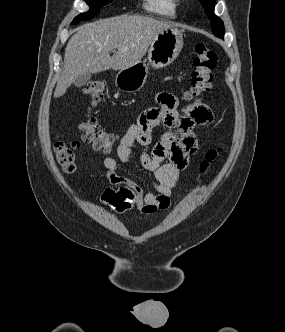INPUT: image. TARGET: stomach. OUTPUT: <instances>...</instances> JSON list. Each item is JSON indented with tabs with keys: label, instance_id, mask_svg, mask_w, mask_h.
<instances>
[{
	"label": "stomach",
	"instance_id": "1",
	"mask_svg": "<svg viewBox=\"0 0 285 332\" xmlns=\"http://www.w3.org/2000/svg\"><path fill=\"white\" fill-rule=\"evenodd\" d=\"M183 47L182 33L170 27L159 33L151 43L148 51V63L156 68L170 65L179 55ZM148 65L139 62L130 68L120 70L115 78L116 86L126 92L139 91L145 84Z\"/></svg>",
	"mask_w": 285,
	"mask_h": 332
}]
</instances>
